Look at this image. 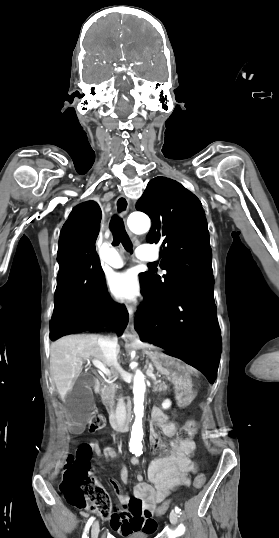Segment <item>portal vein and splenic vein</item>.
I'll list each match as a JSON object with an SVG mask.
<instances>
[{
  "label": "portal vein and splenic vein",
  "mask_w": 279,
  "mask_h": 538,
  "mask_svg": "<svg viewBox=\"0 0 279 538\" xmlns=\"http://www.w3.org/2000/svg\"><path fill=\"white\" fill-rule=\"evenodd\" d=\"M92 364L93 366H95V368H99V370H101L103 374H106V376H110L108 368H106V366H104L102 362H99V360H92ZM155 383H161V380H155Z\"/></svg>",
  "instance_id": "1"
}]
</instances>
